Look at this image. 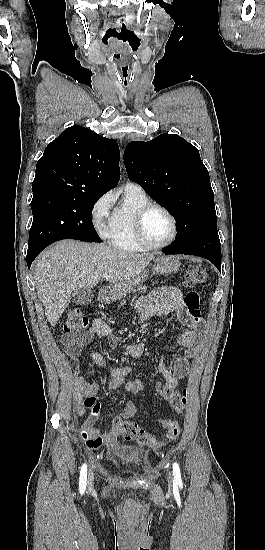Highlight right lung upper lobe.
Here are the masks:
<instances>
[{"mask_svg":"<svg viewBox=\"0 0 265 550\" xmlns=\"http://www.w3.org/2000/svg\"><path fill=\"white\" fill-rule=\"evenodd\" d=\"M119 147L81 126L64 130L45 149L36 165L33 195H103L120 178Z\"/></svg>","mask_w":265,"mask_h":550,"instance_id":"cb5924a9","label":"right lung upper lobe"}]
</instances>
